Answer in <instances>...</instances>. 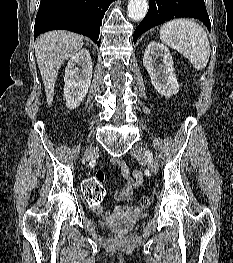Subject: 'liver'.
I'll return each mask as SVG.
<instances>
[{
    "instance_id": "6515ba94",
    "label": "liver",
    "mask_w": 233,
    "mask_h": 263,
    "mask_svg": "<svg viewBox=\"0 0 233 263\" xmlns=\"http://www.w3.org/2000/svg\"><path fill=\"white\" fill-rule=\"evenodd\" d=\"M82 46V36L64 30L50 31L36 39L35 56L45 87L48 106L53 102L55 82L61 65Z\"/></svg>"
}]
</instances>
